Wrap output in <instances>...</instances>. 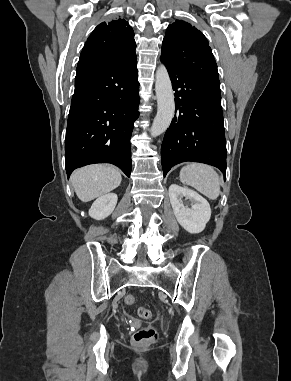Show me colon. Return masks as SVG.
Segmentation results:
<instances>
[{
    "instance_id": "colon-1",
    "label": "colon",
    "mask_w": 291,
    "mask_h": 381,
    "mask_svg": "<svg viewBox=\"0 0 291 381\" xmlns=\"http://www.w3.org/2000/svg\"><path fill=\"white\" fill-rule=\"evenodd\" d=\"M127 305H133L136 302V298L133 295H127L124 299ZM138 315L143 319H150L152 312L146 307H139L137 309ZM157 331L152 327H147L138 330L134 333L132 341L136 346H149L157 340Z\"/></svg>"
}]
</instances>
